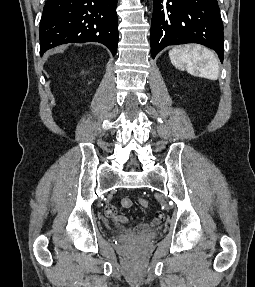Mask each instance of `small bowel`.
Masks as SVG:
<instances>
[{"label":"small bowel","instance_id":"small-bowel-1","mask_svg":"<svg viewBox=\"0 0 255 287\" xmlns=\"http://www.w3.org/2000/svg\"><path fill=\"white\" fill-rule=\"evenodd\" d=\"M121 204L123 207L129 208L132 205V201L129 198H123ZM105 213L117 226L132 222L131 219H129L128 217L118 214L117 207L113 203L106 205ZM163 220H164V214L162 212H156L151 222L137 224L135 225L133 230L137 232L150 231L159 224H161Z\"/></svg>","mask_w":255,"mask_h":287}]
</instances>
